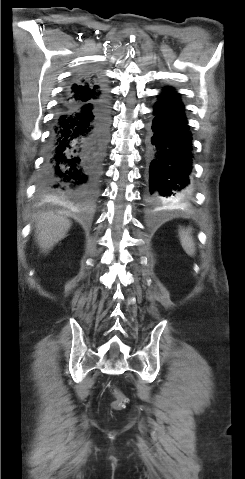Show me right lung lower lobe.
<instances>
[{"label":"right lung lower lobe","instance_id":"1","mask_svg":"<svg viewBox=\"0 0 245 479\" xmlns=\"http://www.w3.org/2000/svg\"><path fill=\"white\" fill-rule=\"evenodd\" d=\"M88 74L78 75L74 83ZM109 106L107 93L84 104H60L38 182L42 198L80 209L93 205L109 131Z\"/></svg>","mask_w":245,"mask_h":479}]
</instances>
